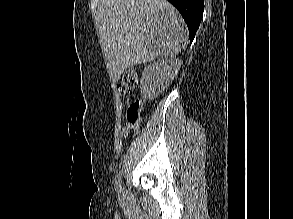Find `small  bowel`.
Here are the masks:
<instances>
[{
  "label": "small bowel",
  "instance_id": "1",
  "mask_svg": "<svg viewBox=\"0 0 293 219\" xmlns=\"http://www.w3.org/2000/svg\"><path fill=\"white\" fill-rule=\"evenodd\" d=\"M131 129H134V127L128 125V126H125L123 129H122V135L124 138H127L128 135H129V132Z\"/></svg>",
  "mask_w": 293,
  "mask_h": 219
}]
</instances>
